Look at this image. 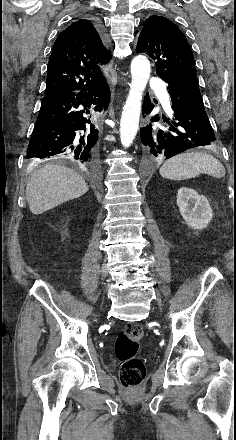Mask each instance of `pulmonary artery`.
Returning a JSON list of instances; mask_svg holds the SVG:
<instances>
[{
    "instance_id": "pulmonary-artery-1",
    "label": "pulmonary artery",
    "mask_w": 236,
    "mask_h": 440,
    "mask_svg": "<svg viewBox=\"0 0 236 440\" xmlns=\"http://www.w3.org/2000/svg\"><path fill=\"white\" fill-rule=\"evenodd\" d=\"M151 87L161 93L162 102L164 103L166 109L170 111L169 95L167 93L164 81L160 79H153L151 82Z\"/></svg>"
}]
</instances>
